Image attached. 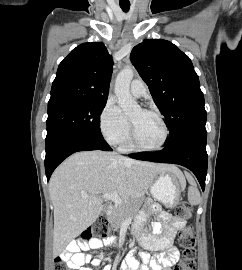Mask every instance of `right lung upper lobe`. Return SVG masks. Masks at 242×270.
Here are the masks:
<instances>
[{"instance_id": "obj_1", "label": "right lung upper lobe", "mask_w": 242, "mask_h": 270, "mask_svg": "<svg viewBox=\"0 0 242 270\" xmlns=\"http://www.w3.org/2000/svg\"><path fill=\"white\" fill-rule=\"evenodd\" d=\"M112 64V58L103 43L77 46L59 64L48 105L107 101Z\"/></svg>"}]
</instances>
